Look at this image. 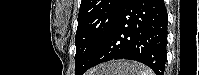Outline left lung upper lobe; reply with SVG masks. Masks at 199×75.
Instances as JSON below:
<instances>
[{
    "label": "left lung upper lobe",
    "mask_w": 199,
    "mask_h": 75,
    "mask_svg": "<svg viewBox=\"0 0 199 75\" xmlns=\"http://www.w3.org/2000/svg\"><path fill=\"white\" fill-rule=\"evenodd\" d=\"M126 0H82L75 37V75L89 69Z\"/></svg>",
    "instance_id": "1"
}]
</instances>
